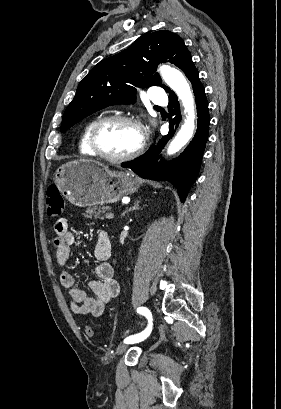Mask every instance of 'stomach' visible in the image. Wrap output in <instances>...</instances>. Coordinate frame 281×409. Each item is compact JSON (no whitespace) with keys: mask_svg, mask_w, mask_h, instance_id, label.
I'll list each match as a JSON object with an SVG mask.
<instances>
[{"mask_svg":"<svg viewBox=\"0 0 281 409\" xmlns=\"http://www.w3.org/2000/svg\"><path fill=\"white\" fill-rule=\"evenodd\" d=\"M58 190L76 207L117 202L132 194L139 184L128 170H109L103 162L77 158L58 166L53 178Z\"/></svg>","mask_w":281,"mask_h":409,"instance_id":"0dacf381","label":"stomach"}]
</instances>
